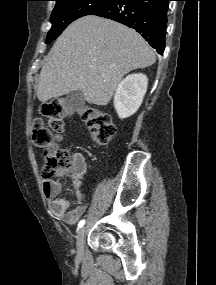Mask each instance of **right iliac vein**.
<instances>
[{"label":"right iliac vein","mask_w":216,"mask_h":285,"mask_svg":"<svg viewBox=\"0 0 216 285\" xmlns=\"http://www.w3.org/2000/svg\"><path fill=\"white\" fill-rule=\"evenodd\" d=\"M85 235H86V228L81 227L78 230L77 241H76V250L78 255L83 254Z\"/></svg>","instance_id":"63e3f726"}]
</instances>
